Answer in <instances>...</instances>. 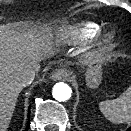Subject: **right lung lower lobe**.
<instances>
[{
  "instance_id": "98d812e1",
  "label": "right lung lower lobe",
  "mask_w": 131,
  "mask_h": 131,
  "mask_svg": "<svg viewBox=\"0 0 131 131\" xmlns=\"http://www.w3.org/2000/svg\"><path fill=\"white\" fill-rule=\"evenodd\" d=\"M29 124H30V116H29V114H28V125H27V127H26V130H25V131H28Z\"/></svg>"
}]
</instances>
